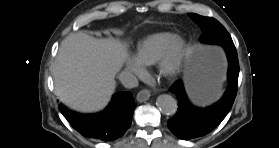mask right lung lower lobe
I'll use <instances>...</instances> for the list:
<instances>
[{
  "label": "right lung lower lobe",
  "instance_id": "1",
  "mask_svg": "<svg viewBox=\"0 0 279 148\" xmlns=\"http://www.w3.org/2000/svg\"><path fill=\"white\" fill-rule=\"evenodd\" d=\"M136 104L130 92H120L101 113L78 115L61 106L60 111L71 126L83 136L101 141H113L123 136L132 122Z\"/></svg>",
  "mask_w": 279,
  "mask_h": 148
}]
</instances>
